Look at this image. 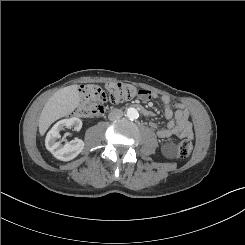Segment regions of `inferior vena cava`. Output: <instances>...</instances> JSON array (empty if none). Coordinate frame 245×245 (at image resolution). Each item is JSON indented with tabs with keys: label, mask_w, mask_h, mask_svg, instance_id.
<instances>
[{
	"label": "inferior vena cava",
	"mask_w": 245,
	"mask_h": 245,
	"mask_svg": "<svg viewBox=\"0 0 245 245\" xmlns=\"http://www.w3.org/2000/svg\"><path fill=\"white\" fill-rule=\"evenodd\" d=\"M122 116L123 111L121 109H114L109 113L108 118L110 121H114L120 119Z\"/></svg>",
	"instance_id": "inferior-vena-cava-1"
}]
</instances>
